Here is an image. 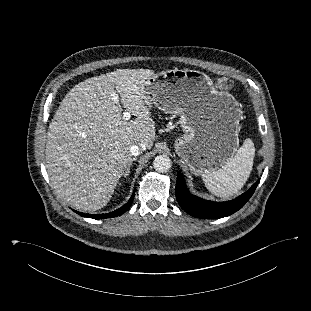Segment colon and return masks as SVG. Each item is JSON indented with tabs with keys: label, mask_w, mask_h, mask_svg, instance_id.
<instances>
[{
	"label": "colon",
	"mask_w": 311,
	"mask_h": 311,
	"mask_svg": "<svg viewBox=\"0 0 311 311\" xmlns=\"http://www.w3.org/2000/svg\"><path fill=\"white\" fill-rule=\"evenodd\" d=\"M216 86L221 90H228L232 88L233 82L228 78H219L216 80Z\"/></svg>",
	"instance_id": "1"
}]
</instances>
